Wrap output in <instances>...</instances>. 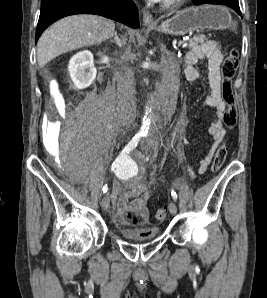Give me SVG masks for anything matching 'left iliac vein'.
Here are the masks:
<instances>
[{
  "label": "left iliac vein",
  "instance_id": "4c4485c4",
  "mask_svg": "<svg viewBox=\"0 0 267 298\" xmlns=\"http://www.w3.org/2000/svg\"><path fill=\"white\" fill-rule=\"evenodd\" d=\"M168 208L171 214L175 215L177 213V206L173 201L169 203Z\"/></svg>",
  "mask_w": 267,
  "mask_h": 298
}]
</instances>
